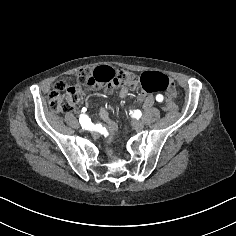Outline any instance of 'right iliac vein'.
I'll use <instances>...</instances> for the list:
<instances>
[{"label":"right iliac vein","mask_w":236,"mask_h":236,"mask_svg":"<svg viewBox=\"0 0 236 236\" xmlns=\"http://www.w3.org/2000/svg\"><path fill=\"white\" fill-rule=\"evenodd\" d=\"M90 134L93 135L94 137L97 135L94 130H91Z\"/></svg>","instance_id":"1"}]
</instances>
